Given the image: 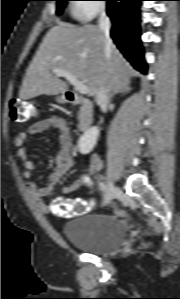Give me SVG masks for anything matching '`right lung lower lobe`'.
Instances as JSON below:
<instances>
[{"label":"right lung lower lobe","instance_id":"right-lung-lower-lobe-1","mask_svg":"<svg viewBox=\"0 0 180 299\" xmlns=\"http://www.w3.org/2000/svg\"><path fill=\"white\" fill-rule=\"evenodd\" d=\"M112 20L111 37L135 69L147 73L139 29V2L142 0H106Z\"/></svg>","mask_w":180,"mask_h":299}]
</instances>
